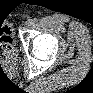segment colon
I'll return each instance as SVG.
<instances>
[{"label": "colon", "instance_id": "1", "mask_svg": "<svg viewBox=\"0 0 93 93\" xmlns=\"http://www.w3.org/2000/svg\"><path fill=\"white\" fill-rule=\"evenodd\" d=\"M1 40H2V50L3 52H6L7 49L10 47L11 40L9 39L8 35L6 33H2L1 35Z\"/></svg>", "mask_w": 93, "mask_h": 93}]
</instances>
